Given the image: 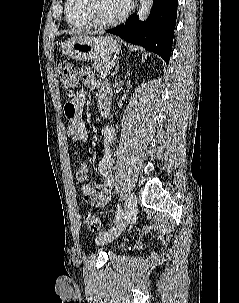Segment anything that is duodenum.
<instances>
[{"label": "duodenum", "mask_w": 239, "mask_h": 303, "mask_svg": "<svg viewBox=\"0 0 239 303\" xmlns=\"http://www.w3.org/2000/svg\"><path fill=\"white\" fill-rule=\"evenodd\" d=\"M101 113L102 115L107 116L109 114V108H102Z\"/></svg>", "instance_id": "410a0bca"}]
</instances>
